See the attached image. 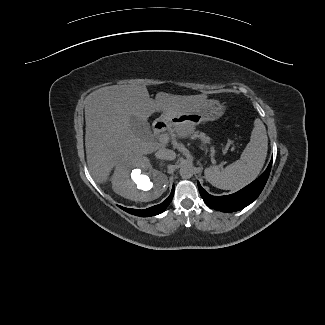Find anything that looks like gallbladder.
<instances>
[{
	"label": "gallbladder",
	"instance_id": "bac80fb5",
	"mask_svg": "<svg viewBox=\"0 0 325 325\" xmlns=\"http://www.w3.org/2000/svg\"><path fill=\"white\" fill-rule=\"evenodd\" d=\"M131 129L141 139L149 140L152 136V131L147 121L140 120L136 117L131 118Z\"/></svg>",
	"mask_w": 325,
	"mask_h": 325
}]
</instances>
